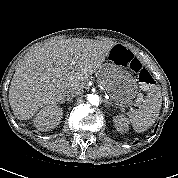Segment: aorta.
<instances>
[{
	"mask_svg": "<svg viewBox=\"0 0 178 178\" xmlns=\"http://www.w3.org/2000/svg\"><path fill=\"white\" fill-rule=\"evenodd\" d=\"M88 101L92 104V105H95V106H98L100 104V98L98 95L96 94H90L88 96Z\"/></svg>",
	"mask_w": 178,
	"mask_h": 178,
	"instance_id": "aorta-1",
	"label": "aorta"
}]
</instances>
